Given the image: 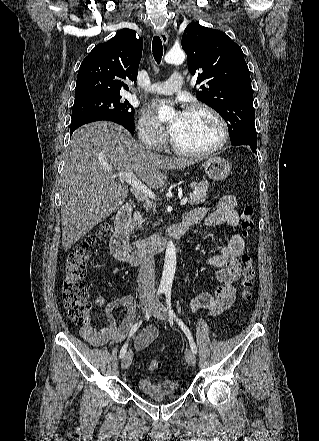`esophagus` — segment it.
Returning <instances> with one entry per match:
<instances>
[{
    "label": "esophagus",
    "instance_id": "obj_1",
    "mask_svg": "<svg viewBox=\"0 0 319 441\" xmlns=\"http://www.w3.org/2000/svg\"><path fill=\"white\" fill-rule=\"evenodd\" d=\"M159 36L165 46L168 45V35L164 29L159 30Z\"/></svg>",
    "mask_w": 319,
    "mask_h": 441
}]
</instances>
